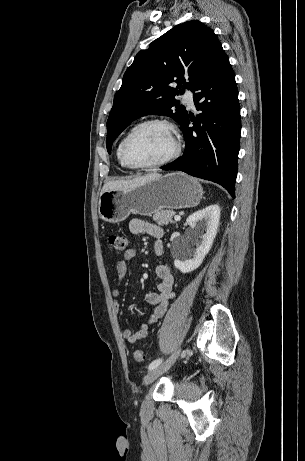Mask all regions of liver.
Masks as SVG:
<instances>
[{
  "label": "liver",
  "instance_id": "liver-1",
  "mask_svg": "<svg viewBox=\"0 0 305 461\" xmlns=\"http://www.w3.org/2000/svg\"><path fill=\"white\" fill-rule=\"evenodd\" d=\"M161 175L157 173L147 174L145 176L136 177L133 179L128 180H116V181H109L104 184L101 194L111 190H125L134 188L140 185H143L151 180L159 178Z\"/></svg>",
  "mask_w": 305,
  "mask_h": 461
}]
</instances>
